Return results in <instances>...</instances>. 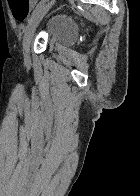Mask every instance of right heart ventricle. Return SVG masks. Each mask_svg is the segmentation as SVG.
<instances>
[{
    "label": "right heart ventricle",
    "mask_w": 140,
    "mask_h": 196,
    "mask_svg": "<svg viewBox=\"0 0 140 196\" xmlns=\"http://www.w3.org/2000/svg\"><path fill=\"white\" fill-rule=\"evenodd\" d=\"M9 192H37V191H9Z\"/></svg>",
    "instance_id": "obj_1"
}]
</instances>
